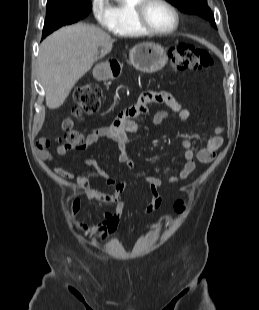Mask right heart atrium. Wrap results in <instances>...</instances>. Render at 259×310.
<instances>
[{
    "mask_svg": "<svg viewBox=\"0 0 259 310\" xmlns=\"http://www.w3.org/2000/svg\"><path fill=\"white\" fill-rule=\"evenodd\" d=\"M90 8L95 21L101 26H107L111 18L109 0H91Z\"/></svg>",
    "mask_w": 259,
    "mask_h": 310,
    "instance_id": "d8ad5b80",
    "label": "right heart atrium"
}]
</instances>
